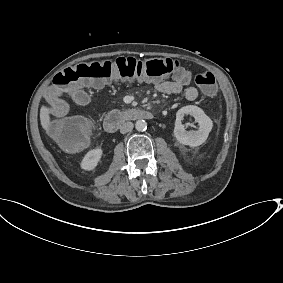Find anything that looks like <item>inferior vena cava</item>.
<instances>
[{"label": "inferior vena cava", "mask_w": 283, "mask_h": 283, "mask_svg": "<svg viewBox=\"0 0 283 283\" xmlns=\"http://www.w3.org/2000/svg\"><path fill=\"white\" fill-rule=\"evenodd\" d=\"M133 127H134V125H133L132 122H125V123H123V124L121 125V127H120V132H121L122 134H125V133H127V132L132 131Z\"/></svg>", "instance_id": "inferior-vena-cava-1"}]
</instances>
